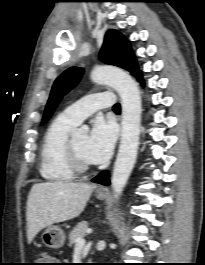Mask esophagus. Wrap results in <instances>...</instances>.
I'll return each mask as SVG.
<instances>
[{"label":"esophagus","mask_w":205,"mask_h":265,"mask_svg":"<svg viewBox=\"0 0 205 265\" xmlns=\"http://www.w3.org/2000/svg\"><path fill=\"white\" fill-rule=\"evenodd\" d=\"M97 190H98V191H104V188L99 187Z\"/></svg>","instance_id":"34e87169"}]
</instances>
